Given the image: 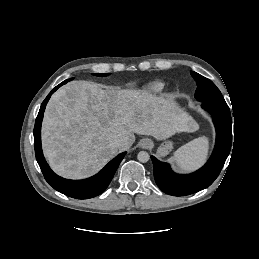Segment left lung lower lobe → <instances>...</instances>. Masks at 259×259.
Here are the masks:
<instances>
[{
	"label": "left lung lower lobe",
	"mask_w": 259,
	"mask_h": 259,
	"mask_svg": "<svg viewBox=\"0 0 259 259\" xmlns=\"http://www.w3.org/2000/svg\"><path fill=\"white\" fill-rule=\"evenodd\" d=\"M202 108L213 117L216 128V144L207 163L192 174L174 173L170 165L151 156L154 178L158 187L172 196H185L210 186L218 177L229 155L232 143V120L226 102H202Z\"/></svg>",
	"instance_id": "1"
}]
</instances>
